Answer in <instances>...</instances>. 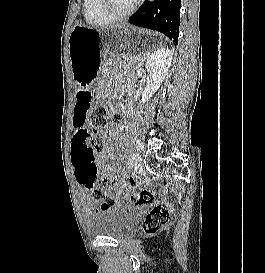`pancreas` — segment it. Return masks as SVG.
I'll list each match as a JSON object with an SVG mask.
<instances>
[{"label":"pancreas","mask_w":265,"mask_h":273,"mask_svg":"<svg viewBox=\"0 0 265 273\" xmlns=\"http://www.w3.org/2000/svg\"><path fill=\"white\" fill-rule=\"evenodd\" d=\"M126 60L131 64V65H135L139 62H141V57H127Z\"/></svg>","instance_id":"pancreas-1"}]
</instances>
